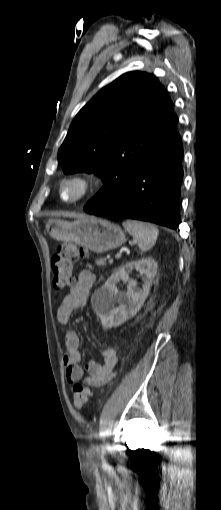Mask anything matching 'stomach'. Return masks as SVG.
<instances>
[{"label": "stomach", "instance_id": "0dacf381", "mask_svg": "<svg viewBox=\"0 0 221 510\" xmlns=\"http://www.w3.org/2000/svg\"><path fill=\"white\" fill-rule=\"evenodd\" d=\"M45 229L58 241L74 242L96 253L116 249L126 241L125 233L119 225L96 217H85L72 222L50 218Z\"/></svg>", "mask_w": 221, "mask_h": 510}]
</instances>
